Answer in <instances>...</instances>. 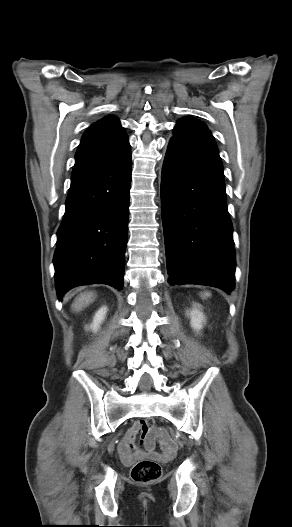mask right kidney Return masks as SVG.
Here are the masks:
<instances>
[{"label":"right kidney","mask_w":292,"mask_h":527,"mask_svg":"<svg viewBox=\"0 0 292 527\" xmlns=\"http://www.w3.org/2000/svg\"><path fill=\"white\" fill-rule=\"evenodd\" d=\"M106 313H107V307H102L101 309L97 311L93 319V323L90 325V329L92 331L96 332L99 329L100 324L105 319Z\"/></svg>","instance_id":"ca27d5eb"}]
</instances>
